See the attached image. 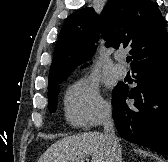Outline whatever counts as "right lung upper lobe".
<instances>
[{
    "label": "right lung upper lobe",
    "instance_id": "cb5924a9",
    "mask_svg": "<svg viewBox=\"0 0 168 162\" xmlns=\"http://www.w3.org/2000/svg\"><path fill=\"white\" fill-rule=\"evenodd\" d=\"M157 3L150 0H110L101 15L83 8L64 22L55 46L49 85L68 75L93 55L101 32L107 46L132 48V67L168 47Z\"/></svg>",
    "mask_w": 168,
    "mask_h": 162
}]
</instances>
